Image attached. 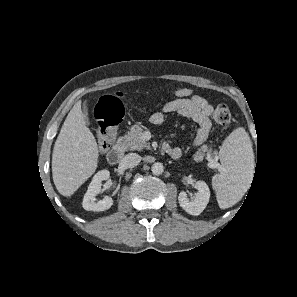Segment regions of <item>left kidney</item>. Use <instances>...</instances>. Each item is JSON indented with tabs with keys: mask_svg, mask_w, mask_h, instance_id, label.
Segmentation results:
<instances>
[{
	"mask_svg": "<svg viewBox=\"0 0 297 297\" xmlns=\"http://www.w3.org/2000/svg\"><path fill=\"white\" fill-rule=\"evenodd\" d=\"M194 186L198 192L192 200H189L186 192L182 191L179 193L178 201L183 210L197 216L207 206L210 198V190L204 181H197Z\"/></svg>",
	"mask_w": 297,
	"mask_h": 297,
	"instance_id": "1",
	"label": "left kidney"
}]
</instances>
